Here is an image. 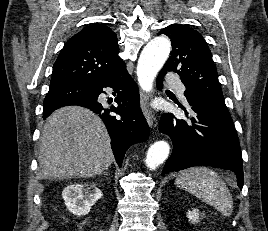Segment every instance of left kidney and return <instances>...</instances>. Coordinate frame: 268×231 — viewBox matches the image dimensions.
Returning <instances> with one entry per match:
<instances>
[{"instance_id": "obj_1", "label": "left kidney", "mask_w": 268, "mask_h": 231, "mask_svg": "<svg viewBox=\"0 0 268 231\" xmlns=\"http://www.w3.org/2000/svg\"><path fill=\"white\" fill-rule=\"evenodd\" d=\"M199 215H200V213H199V210L198 209H192L191 211L189 210L187 212V218L193 224L199 222Z\"/></svg>"}]
</instances>
